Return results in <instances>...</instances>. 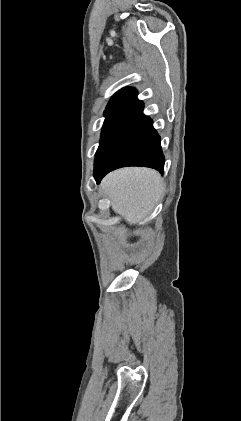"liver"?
<instances>
[{"label":"liver","mask_w":241,"mask_h":421,"mask_svg":"<svg viewBox=\"0 0 241 421\" xmlns=\"http://www.w3.org/2000/svg\"><path fill=\"white\" fill-rule=\"evenodd\" d=\"M112 210L130 225L153 210L164 193L161 175L149 168H122L108 174L101 183Z\"/></svg>","instance_id":"1"}]
</instances>
